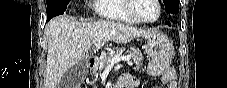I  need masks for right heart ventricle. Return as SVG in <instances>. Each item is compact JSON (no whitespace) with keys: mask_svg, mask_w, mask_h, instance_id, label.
<instances>
[{"mask_svg":"<svg viewBox=\"0 0 227 88\" xmlns=\"http://www.w3.org/2000/svg\"><path fill=\"white\" fill-rule=\"evenodd\" d=\"M127 2L128 0H94V9L102 18L136 23L126 9Z\"/></svg>","mask_w":227,"mask_h":88,"instance_id":"right-heart-ventricle-1","label":"right heart ventricle"}]
</instances>
